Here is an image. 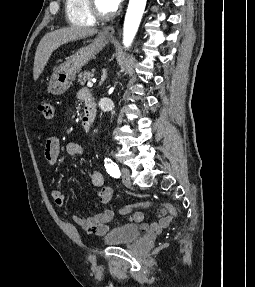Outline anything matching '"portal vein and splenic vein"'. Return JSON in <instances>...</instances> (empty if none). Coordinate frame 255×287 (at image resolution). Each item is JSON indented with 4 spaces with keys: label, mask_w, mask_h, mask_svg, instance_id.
Wrapping results in <instances>:
<instances>
[{
    "label": "portal vein and splenic vein",
    "mask_w": 255,
    "mask_h": 287,
    "mask_svg": "<svg viewBox=\"0 0 255 287\" xmlns=\"http://www.w3.org/2000/svg\"><path fill=\"white\" fill-rule=\"evenodd\" d=\"M93 82H96L95 78H93V80H91V82H87L88 88H92Z\"/></svg>",
    "instance_id": "18ae733b"
}]
</instances>
